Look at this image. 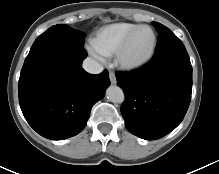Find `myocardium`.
Returning <instances> with one entry per match:
<instances>
[{
  "label": "myocardium",
  "instance_id": "obj_1",
  "mask_svg": "<svg viewBox=\"0 0 219 174\" xmlns=\"http://www.w3.org/2000/svg\"><path fill=\"white\" fill-rule=\"evenodd\" d=\"M141 29H149L151 31V33L153 35L151 47H150L148 53L144 57L137 59V60H128L125 56L126 52L128 50V47H129L133 37L135 36V34ZM156 46H157V35H156L155 30L149 25H139L138 27H136L133 31H131L127 35V37L124 39V41L121 43V45L117 49V51L115 53V63L121 69H123L125 71L138 70V69L144 67L145 65H147L151 61V59L154 56Z\"/></svg>",
  "mask_w": 219,
  "mask_h": 174
}]
</instances>
